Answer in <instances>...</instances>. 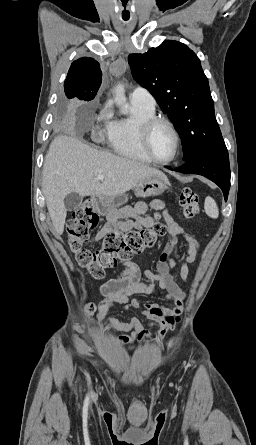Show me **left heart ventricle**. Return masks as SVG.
Instances as JSON below:
<instances>
[{
	"label": "left heart ventricle",
	"mask_w": 256,
	"mask_h": 445,
	"mask_svg": "<svg viewBox=\"0 0 256 445\" xmlns=\"http://www.w3.org/2000/svg\"><path fill=\"white\" fill-rule=\"evenodd\" d=\"M151 146L155 156L162 160L171 158L175 152V138L164 124L157 125L151 135Z\"/></svg>",
	"instance_id": "b2bd125f"
}]
</instances>
